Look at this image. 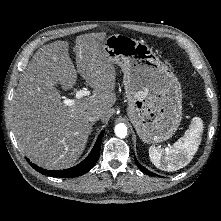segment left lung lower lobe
<instances>
[{"mask_svg":"<svg viewBox=\"0 0 221 221\" xmlns=\"http://www.w3.org/2000/svg\"><path fill=\"white\" fill-rule=\"evenodd\" d=\"M134 159H135V162H136L137 166L141 169L142 172H144V173H146V174H148V175H150V176H155V173L150 172L149 170H147L146 168H144L143 166H141V164L137 161L136 158H134Z\"/></svg>","mask_w":221,"mask_h":221,"instance_id":"0a47b994","label":"left lung lower lobe"}]
</instances>
